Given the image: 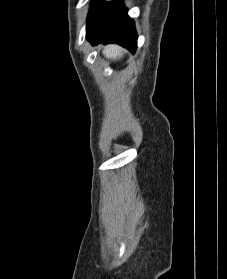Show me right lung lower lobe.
<instances>
[{
  "label": "right lung lower lobe",
  "instance_id": "1",
  "mask_svg": "<svg viewBox=\"0 0 227 279\" xmlns=\"http://www.w3.org/2000/svg\"><path fill=\"white\" fill-rule=\"evenodd\" d=\"M86 37L92 45L117 43L131 52L137 48V33L122 1L94 0L86 26Z\"/></svg>",
  "mask_w": 227,
  "mask_h": 279
}]
</instances>
